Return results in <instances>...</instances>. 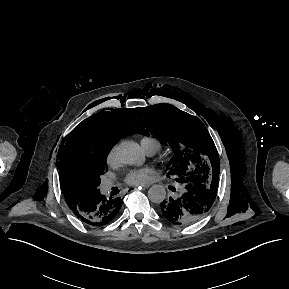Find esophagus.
Here are the masks:
<instances>
[{"mask_svg":"<svg viewBox=\"0 0 289 289\" xmlns=\"http://www.w3.org/2000/svg\"><path fill=\"white\" fill-rule=\"evenodd\" d=\"M149 187H150V184L142 185V188H143V189H147V188H149ZM134 189H136V188H134Z\"/></svg>","mask_w":289,"mask_h":289,"instance_id":"obj_1","label":"esophagus"}]
</instances>
